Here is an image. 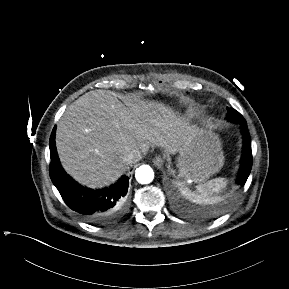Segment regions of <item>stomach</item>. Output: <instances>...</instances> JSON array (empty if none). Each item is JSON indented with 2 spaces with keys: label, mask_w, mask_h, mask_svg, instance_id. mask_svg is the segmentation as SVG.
Here are the masks:
<instances>
[{
  "label": "stomach",
  "mask_w": 289,
  "mask_h": 289,
  "mask_svg": "<svg viewBox=\"0 0 289 289\" xmlns=\"http://www.w3.org/2000/svg\"><path fill=\"white\" fill-rule=\"evenodd\" d=\"M224 164L218 135L204 129H192L179 149L177 165L180 172L193 178L206 179Z\"/></svg>",
  "instance_id": "0dacf381"
}]
</instances>
